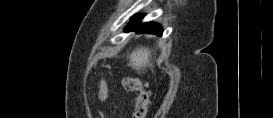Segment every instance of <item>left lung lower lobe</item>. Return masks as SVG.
Segmentation results:
<instances>
[{
  "instance_id": "left-lung-lower-lobe-1",
  "label": "left lung lower lobe",
  "mask_w": 273,
  "mask_h": 118,
  "mask_svg": "<svg viewBox=\"0 0 273 118\" xmlns=\"http://www.w3.org/2000/svg\"><path fill=\"white\" fill-rule=\"evenodd\" d=\"M138 22L136 23H131L125 27V31H131V30H136L137 33H150V34H157V35H162V28L159 24L149 22V23H144L141 25H137Z\"/></svg>"
}]
</instances>
